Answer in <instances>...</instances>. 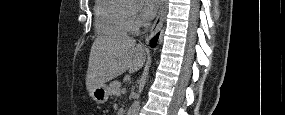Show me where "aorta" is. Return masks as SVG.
Wrapping results in <instances>:
<instances>
[{
  "label": "aorta",
  "instance_id": "1",
  "mask_svg": "<svg viewBox=\"0 0 285 115\" xmlns=\"http://www.w3.org/2000/svg\"><path fill=\"white\" fill-rule=\"evenodd\" d=\"M140 102L136 100L128 110V115H138Z\"/></svg>",
  "mask_w": 285,
  "mask_h": 115
}]
</instances>
